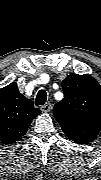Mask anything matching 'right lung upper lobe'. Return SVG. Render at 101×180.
I'll list each match as a JSON object with an SVG mask.
<instances>
[{
  "label": "right lung upper lobe",
  "mask_w": 101,
  "mask_h": 180,
  "mask_svg": "<svg viewBox=\"0 0 101 180\" xmlns=\"http://www.w3.org/2000/svg\"><path fill=\"white\" fill-rule=\"evenodd\" d=\"M41 113L32 100L22 95L16 82L0 90V141L11 144L28 130L32 120Z\"/></svg>",
  "instance_id": "cb5924a9"
}]
</instances>
